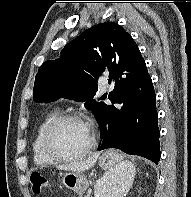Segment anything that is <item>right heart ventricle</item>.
Here are the masks:
<instances>
[{
	"label": "right heart ventricle",
	"mask_w": 191,
	"mask_h": 197,
	"mask_svg": "<svg viewBox=\"0 0 191 197\" xmlns=\"http://www.w3.org/2000/svg\"><path fill=\"white\" fill-rule=\"evenodd\" d=\"M58 116V110L54 109L49 111L37 127L36 134L32 142V155L34 163L38 166L44 167L54 164V161L44 154L41 146V139L46 127Z\"/></svg>",
	"instance_id": "e07e8e85"
}]
</instances>
